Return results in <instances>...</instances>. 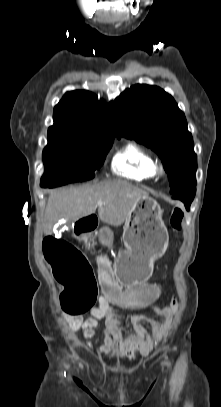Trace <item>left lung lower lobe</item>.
Masks as SVG:
<instances>
[{"instance_id":"left-lung-lower-lobe-1","label":"left lung lower lobe","mask_w":221,"mask_h":407,"mask_svg":"<svg viewBox=\"0 0 221 407\" xmlns=\"http://www.w3.org/2000/svg\"><path fill=\"white\" fill-rule=\"evenodd\" d=\"M195 193H196V187L192 188V189H187V190H182V191L176 192L175 194H173L172 198L179 199L182 202H184L186 209L189 210L190 204L194 199Z\"/></svg>"}]
</instances>
